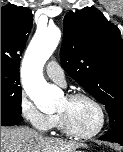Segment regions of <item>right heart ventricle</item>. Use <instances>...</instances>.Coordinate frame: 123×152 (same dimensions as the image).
I'll list each match as a JSON object with an SVG mask.
<instances>
[{
	"instance_id": "right-heart-ventricle-1",
	"label": "right heart ventricle",
	"mask_w": 123,
	"mask_h": 152,
	"mask_svg": "<svg viewBox=\"0 0 123 152\" xmlns=\"http://www.w3.org/2000/svg\"><path fill=\"white\" fill-rule=\"evenodd\" d=\"M54 116H55L54 127H57L58 129L62 130V126H61V123H60L58 115H54Z\"/></svg>"
}]
</instances>
